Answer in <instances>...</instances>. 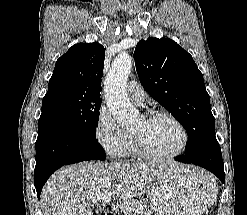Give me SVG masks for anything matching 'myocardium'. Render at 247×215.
<instances>
[{"label":"myocardium","mask_w":247,"mask_h":215,"mask_svg":"<svg viewBox=\"0 0 247 215\" xmlns=\"http://www.w3.org/2000/svg\"><path fill=\"white\" fill-rule=\"evenodd\" d=\"M159 118H167L169 120H171L180 130L181 134H182V141H181V145L179 147V149L173 153L170 154H157L152 152L146 145L144 139L135 133H132V136L134 138L137 150L139 152V154L148 160H152V161H165V160H171L174 158H177L179 156H181L184 151L187 148L188 145V141H189V134L188 131L186 129V127L184 126V124L172 113L167 112V111H154L151 112L150 114H148L145 118V120L147 122L159 119Z\"/></svg>","instance_id":"myocardium-1"}]
</instances>
